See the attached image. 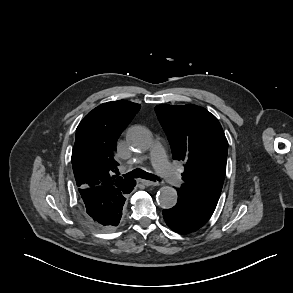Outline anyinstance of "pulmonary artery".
<instances>
[{
	"label": "pulmonary artery",
	"instance_id": "obj_1",
	"mask_svg": "<svg viewBox=\"0 0 293 293\" xmlns=\"http://www.w3.org/2000/svg\"><path fill=\"white\" fill-rule=\"evenodd\" d=\"M151 160L160 176L173 185L180 184V176L168 162L165 150L161 143L155 142L153 144L151 148Z\"/></svg>",
	"mask_w": 293,
	"mask_h": 293
}]
</instances>
